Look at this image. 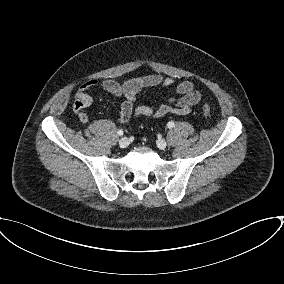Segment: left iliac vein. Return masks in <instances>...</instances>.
Here are the masks:
<instances>
[{
    "instance_id": "left-iliac-vein-1",
    "label": "left iliac vein",
    "mask_w": 284,
    "mask_h": 284,
    "mask_svg": "<svg viewBox=\"0 0 284 284\" xmlns=\"http://www.w3.org/2000/svg\"><path fill=\"white\" fill-rule=\"evenodd\" d=\"M157 146H158L159 149L164 150L167 146V142L164 139H159L157 141Z\"/></svg>"
}]
</instances>
